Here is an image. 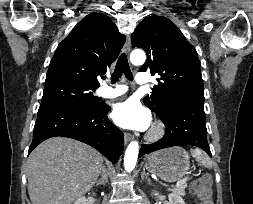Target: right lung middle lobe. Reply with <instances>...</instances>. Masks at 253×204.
I'll return each instance as SVG.
<instances>
[{"mask_svg": "<svg viewBox=\"0 0 253 204\" xmlns=\"http://www.w3.org/2000/svg\"><path fill=\"white\" fill-rule=\"evenodd\" d=\"M95 90L96 88L65 81L45 83L40 107L64 105L97 109L101 103L93 96Z\"/></svg>", "mask_w": 253, "mask_h": 204, "instance_id": "1", "label": "right lung middle lobe"}]
</instances>
